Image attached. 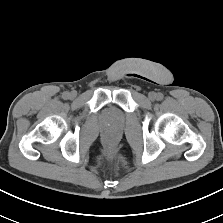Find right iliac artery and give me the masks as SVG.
Instances as JSON below:
<instances>
[{"label":"right iliac artery","mask_w":223,"mask_h":223,"mask_svg":"<svg viewBox=\"0 0 223 223\" xmlns=\"http://www.w3.org/2000/svg\"><path fill=\"white\" fill-rule=\"evenodd\" d=\"M69 97V93L68 92H65L64 94H63V98L64 99H67Z\"/></svg>","instance_id":"82829eb1"}]
</instances>
